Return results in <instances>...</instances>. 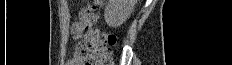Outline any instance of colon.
<instances>
[{"instance_id":"colon-1","label":"colon","mask_w":232,"mask_h":65,"mask_svg":"<svg viewBox=\"0 0 232 65\" xmlns=\"http://www.w3.org/2000/svg\"><path fill=\"white\" fill-rule=\"evenodd\" d=\"M99 2L85 9L81 18L85 23V41L78 45L79 53L85 57L86 65H112L110 46L116 41L115 36L101 37L99 31L94 27L98 19L97 7Z\"/></svg>"}]
</instances>
